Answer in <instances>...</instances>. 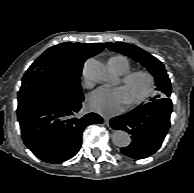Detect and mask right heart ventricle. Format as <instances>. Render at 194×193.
Returning a JSON list of instances; mask_svg holds the SVG:
<instances>
[{"label":"right heart ventricle","mask_w":194,"mask_h":193,"mask_svg":"<svg viewBox=\"0 0 194 193\" xmlns=\"http://www.w3.org/2000/svg\"><path fill=\"white\" fill-rule=\"evenodd\" d=\"M109 65L118 74H126L131 68L129 60L123 55L111 57Z\"/></svg>","instance_id":"right-heart-ventricle-1"}]
</instances>
